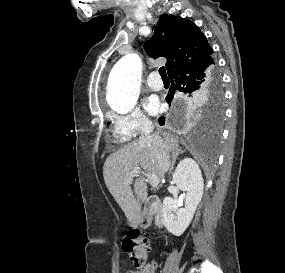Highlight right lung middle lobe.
I'll return each instance as SVG.
<instances>
[{"mask_svg":"<svg viewBox=\"0 0 285 273\" xmlns=\"http://www.w3.org/2000/svg\"><path fill=\"white\" fill-rule=\"evenodd\" d=\"M219 90H220V75L218 72H216L214 77L200 91L192 94H187L185 97L188 101L194 102L197 101L202 96H207L209 94L214 95L216 97V106L213 114L217 119H220L222 117V108L219 105L220 103Z\"/></svg>","mask_w":285,"mask_h":273,"instance_id":"dd1d6c3e","label":"right lung middle lobe"}]
</instances>
